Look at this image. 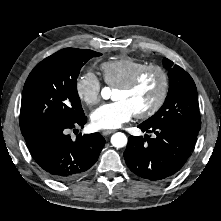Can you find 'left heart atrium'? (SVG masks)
Masks as SVG:
<instances>
[{"label": "left heart atrium", "mask_w": 221, "mask_h": 221, "mask_svg": "<svg viewBox=\"0 0 221 221\" xmlns=\"http://www.w3.org/2000/svg\"><path fill=\"white\" fill-rule=\"evenodd\" d=\"M135 115L132 108L123 100L105 103L91 113V123L96 129L109 130L120 127Z\"/></svg>", "instance_id": "39dd6f15"}]
</instances>
